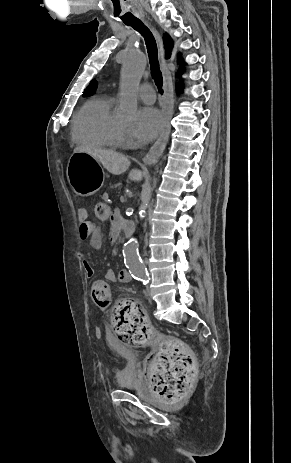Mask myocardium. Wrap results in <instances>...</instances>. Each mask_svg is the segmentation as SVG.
<instances>
[{"mask_svg":"<svg viewBox=\"0 0 291 463\" xmlns=\"http://www.w3.org/2000/svg\"><path fill=\"white\" fill-rule=\"evenodd\" d=\"M116 142L118 145H126V129L119 123L116 126Z\"/></svg>","mask_w":291,"mask_h":463,"instance_id":"myocardium-1","label":"myocardium"}]
</instances>
